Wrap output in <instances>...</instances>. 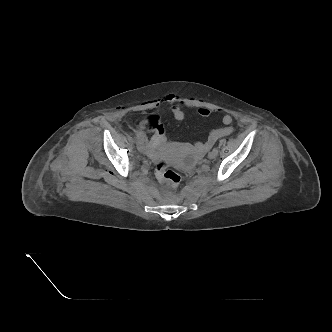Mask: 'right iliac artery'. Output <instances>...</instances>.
<instances>
[{
    "label": "right iliac artery",
    "instance_id": "obj_1",
    "mask_svg": "<svg viewBox=\"0 0 332 332\" xmlns=\"http://www.w3.org/2000/svg\"><path fill=\"white\" fill-rule=\"evenodd\" d=\"M136 136H137L138 138H142V139H144V135H143V133H142L141 131H136Z\"/></svg>",
    "mask_w": 332,
    "mask_h": 332
}]
</instances>
